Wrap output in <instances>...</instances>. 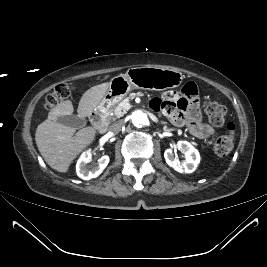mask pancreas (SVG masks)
Returning <instances> with one entry per match:
<instances>
[{"label":"pancreas","mask_w":267,"mask_h":267,"mask_svg":"<svg viewBox=\"0 0 267 267\" xmlns=\"http://www.w3.org/2000/svg\"><path fill=\"white\" fill-rule=\"evenodd\" d=\"M129 97L122 100L120 103H118L116 106L111 108L108 112V121H114L120 117H122L124 114L127 113V108H125L123 105L125 103L129 102Z\"/></svg>","instance_id":"obj_1"}]
</instances>
